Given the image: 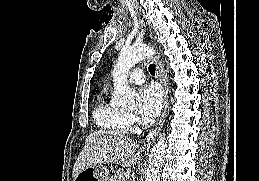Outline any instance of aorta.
Returning <instances> with one entry per match:
<instances>
[{"mask_svg": "<svg viewBox=\"0 0 259 181\" xmlns=\"http://www.w3.org/2000/svg\"><path fill=\"white\" fill-rule=\"evenodd\" d=\"M153 54V48L142 43L121 49L117 64L112 73L114 90L111 103L114 106L134 108V92L128 85V72L135 64ZM166 147V138L162 135L150 152L145 181H159Z\"/></svg>", "mask_w": 259, "mask_h": 181, "instance_id": "obj_1", "label": "aorta"}]
</instances>
